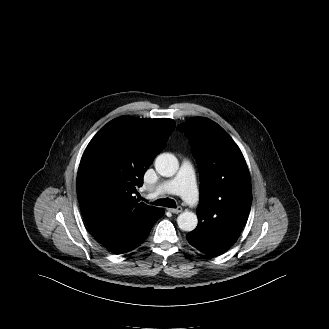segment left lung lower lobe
<instances>
[{"mask_svg":"<svg viewBox=\"0 0 329 329\" xmlns=\"http://www.w3.org/2000/svg\"><path fill=\"white\" fill-rule=\"evenodd\" d=\"M224 229L223 232L217 233L205 232L197 227L187 235V240L192 246L206 255L218 256L236 242L243 226L231 222Z\"/></svg>","mask_w":329,"mask_h":329,"instance_id":"obj_1","label":"left lung lower lobe"}]
</instances>
